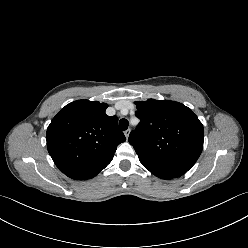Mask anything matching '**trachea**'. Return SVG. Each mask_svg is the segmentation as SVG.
<instances>
[{
    "label": "trachea",
    "mask_w": 248,
    "mask_h": 248,
    "mask_svg": "<svg viewBox=\"0 0 248 248\" xmlns=\"http://www.w3.org/2000/svg\"><path fill=\"white\" fill-rule=\"evenodd\" d=\"M128 126H129L128 120H126V119H121V120L119 121V127H120L121 130H123V131L127 130Z\"/></svg>",
    "instance_id": "3493384b"
}]
</instances>
